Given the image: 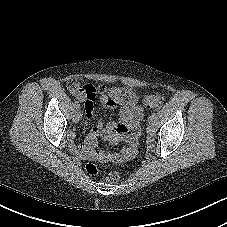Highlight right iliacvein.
Wrapping results in <instances>:
<instances>
[{
	"instance_id": "63e3f726",
	"label": "right iliac vein",
	"mask_w": 227,
	"mask_h": 227,
	"mask_svg": "<svg viewBox=\"0 0 227 227\" xmlns=\"http://www.w3.org/2000/svg\"><path fill=\"white\" fill-rule=\"evenodd\" d=\"M81 117H82L81 110H79V109L75 110L74 115H73V122L74 123L79 122V120L81 119Z\"/></svg>"
}]
</instances>
